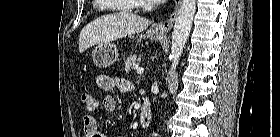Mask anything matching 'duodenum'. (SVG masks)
<instances>
[{
	"label": "duodenum",
	"instance_id": "obj_1",
	"mask_svg": "<svg viewBox=\"0 0 280 137\" xmlns=\"http://www.w3.org/2000/svg\"><path fill=\"white\" fill-rule=\"evenodd\" d=\"M152 120V110L147 97L144 98L143 107L139 114L140 126L146 128L149 126Z\"/></svg>",
	"mask_w": 280,
	"mask_h": 137
}]
</instances>
